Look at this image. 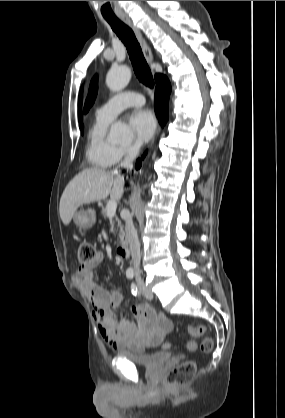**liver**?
<instances>
[{
  "label": "liver",
  "mask_w": 285,
  "mask_h": 418,
  "mask_svg": "<svg viewBox=\"0 0 285 418\" xmlns=\"http://www.w3.org/2000/svg\"><path fill=\"white\" fill-rule=\"evenodd\" d=\"M124 178L99 168L79 172L66 186L60 199L59 213L65 226L69 225L76 210L83 204L106 199L120 200Z\"/></svg>",
  "instance_id": "1"
}]
</instances>
